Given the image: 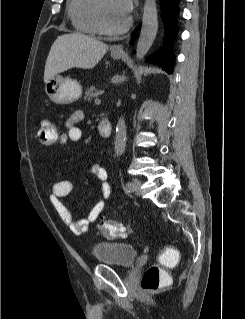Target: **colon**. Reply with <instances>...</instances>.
<instances>
[{
	"instance_id": "obj_1",
	"label": "colon",
	"mask_w": 245,
	"mask_h": 319,
	"mask_svg": "<svg viewBox=\"0 0 245 319\" xmlns=\"http://www.w3.org/2000/svg\"><path fill=\"white\" fill-rule=\"evenodd\" d=\"M36 139L39 144L44 146L52 145L58 135L56 126L47 120L41 121L36 128ZM99 234L106 238H126L128 229L121 223L110 219H103L96 225ZM178 256H173L168 252H164L160 256V260L164 263H170L177 260ZM168 283L167 277L163 270L158 266L149 267L143 277L141 287L144 291L153 292L165 286Z\"/></svg>"
}]
</instances>
